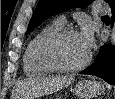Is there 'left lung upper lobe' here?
Listing matches in <instances>:
<instances>
[{"label": "left lung upper lobe", "mask_w": 115, "mask_h": 99, "mask_svg": "<svg viewBox=\"0 0 115 99\" xmlns=\"http://www.w3.org/2000/svg\"><path fill=\"white\" fill-rule=\"evenodd\" d=\"M110 6L115 3V0H105ZM91 0H39L37 7L32 15L28 25V34L32 29L37 27L47 18L67 11L73 7H85Z\"/></svg>", "instance_id": "left-lung-upper-lobe-1"}]
</instances>
